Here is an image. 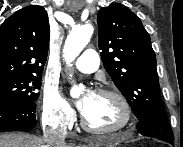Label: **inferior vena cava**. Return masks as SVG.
<instances>
[{
    "label": "inferior vena cava",
    "instance_id": "obj_1",
    "mask_svg": "<svg viewBox=\"0 0 183 147\" xmlns=\"http://www.w3.org/2000/svg\"><path fill=\"white\" fill-rule=\"evenodd\" d=\"M66 135V129H47L44 132L43 140L47 147H62L65 144Z\"/></svg>",
    "mask_w": 183,
    "mask_h": 147
}]
</instances>
